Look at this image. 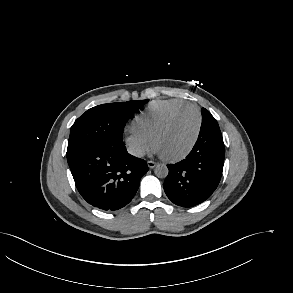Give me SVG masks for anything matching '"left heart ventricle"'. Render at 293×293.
<instances>
[{"label": "left heart ventricle", "mask_w": 293, "mask_h": 293, "mask_svg": "<svg viewBox=\"0 0 293 293\" xmlns=\"http://www.w3.org/2000/svg\"><path fill=\"white\" fill-rule=\"evenodd\" d=\"M197 115L193 110L180 113L155 141L161 155L176 156L191 144L197 129Z\"/></svg>", "instance_id": "1"}]
</instances>
